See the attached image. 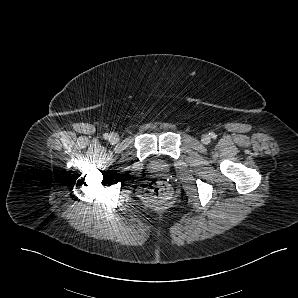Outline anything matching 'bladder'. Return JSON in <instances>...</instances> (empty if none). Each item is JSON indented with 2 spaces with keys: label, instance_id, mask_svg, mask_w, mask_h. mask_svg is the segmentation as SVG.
<instances>
[{
  "label": "bladder",
  "instance_id": "bladder-1",
  "mask_svg": "<svg viewBox=\"0 0 298 298\" xmlns=\"http://www.w3.org/2000/svg\"><path fill=\"white\" fill-rule=\"evenodd\" d=\"M149 171L156 174H166L170 170V165L167 161L161 158H153L149 163Z\"/></svg>",
  "mask_w": 298,
  "mask_h": 298
}]
</instances>
